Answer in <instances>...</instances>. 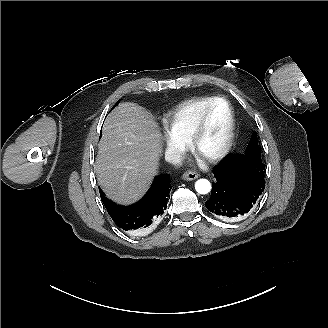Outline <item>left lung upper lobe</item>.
<instances>
[{"label":"left lung upper lobe","instance_id":"left-lung-upper-lobe-1","mask_svg":"<svg viewBox=\"0 0 328 328\" xmlns=\"http://www.w3.org/2000/svg\"><path fill=\"white\" fill-rule=\"evenodd\" d=\"M259 149L258 142H257V136L256 134L253 135L251 142L249 143L245 155H252L255 151Z\"/></svg>","mask_w":328,"mask_h":328}]
</instances>
